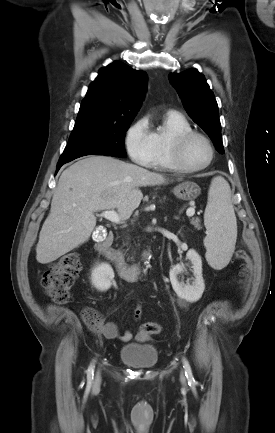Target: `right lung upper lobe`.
<instances>
[{
    "label": "right lung upper lobe",
    "instance_id": "cb5924a9",
    "mask_svg": "<svg viewBox=\"0 0 275 433\" xmlns=\"http://www.w3.org/2000/svg\"><path fill=\"white\" fill-rule=\"evenodd\" d=\"M147 75L115 61L99 70L79 109L77 121L120 122L130 120L140 108Z\"/></svg>",
    "mask_w": 275,
    "mask_h": 433
}]
</instances>
